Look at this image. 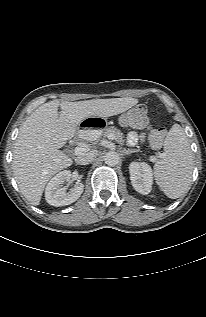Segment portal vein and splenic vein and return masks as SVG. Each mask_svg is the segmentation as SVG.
<instances>
[{"label":"portal vein and splenic vein","instance_id":"1","mask_svg":"<svg viewBox=\"0 0 206 317\" xmlns=\"http://www.w3.org/2000/svg\"><path fill=\"white\" fill-rule=\"evenodd\" d=\"M108 139H109V140H113V139H114V136L111 134V135L108 136ZM86 150H87L86 147H84V146H78V147H76V148L74 149V152H75L76 155H80V154H82L83 152H85ZM160 156H161V154H160ZM155 160H156V158H155L154 156H151V157H150V161L154 162Z\"/></svg>","mask_w":206,"mask_h":317}]
</instances>
